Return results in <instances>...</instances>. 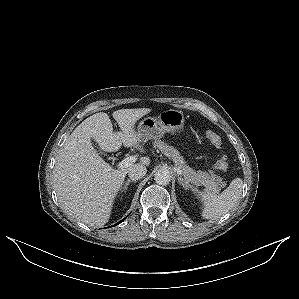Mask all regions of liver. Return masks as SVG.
I'll use <instances>...</instances> for the list:
<instances>
[{
  "label": "liver",
  "instance_id": "6515ba94",
  "mask_svg": "<svg viewBox=\"0 0 299 299\" xmlns=\"http://www.w3.org/2000/svg\"><path fill=\"white\" fill-rule=\"evenodd\" d=\"M151 111L149 108L121 109L112 113L121 132H114L107 113L93 114L68 137L53 171L54 188L63 211L91 227H102L110 218L113 202L129 168L115 169L95 150L92 140L106 152L140 147L134 125ZM138 164L149 165L143 157Z\"/></svg>",
  "mask_w": 299,
  "mask_h": 299
}]
</instances>
